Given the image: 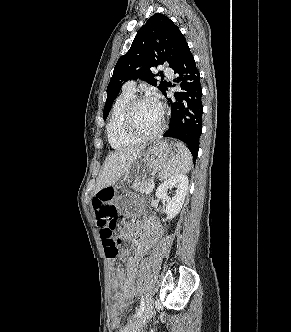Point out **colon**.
Instances as JSON below:
<instances>
[{"label":"colon","instance_id":"colon-1","mask_svg":"<svg viewBox=\"0 0 291 332\" xmlns=\"http://www.w3.org/2000/svg\"><path fill=\"white\" fill-rule=\"evenodd\" d=\"M112 198L113 192L100 191L93 200L102 244L105 255L109 259L117 258L119 253L116 245L117 211L112 202ZM109 322L112 332H118L120 317L115 309L110 313Z\"/></svg>","mask_w":291,"mask_h":332}]
</instances>
